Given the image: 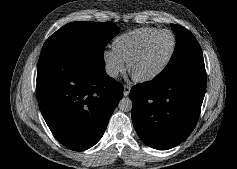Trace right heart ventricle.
Wrapping results in <instances>:
<instances>
[{"label": "right heart ventricle", "mask_w": 237, "mask_h": 169, "mask_svg": "<svg viewBox=\"0 0 237 169\" xmlns=\"http://www.w3.org/2000/svg\"><path fill=\"white\" fill-rule=\"evenodd\" d=\"M157 31V28L143 27L125 32L114 39L113 50L124 62H128L142 43Z\"/></svg>", "instance_id": "obj_1"}]
</instances>
